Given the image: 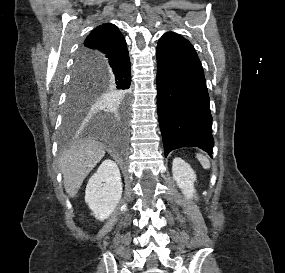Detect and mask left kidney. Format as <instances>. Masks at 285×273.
<instances>
[{
    "mask_svg": "<svg viewBox=\"0 0 285 273\" xmlns=\"http://www.w3.org/2000/svg\"><path fill=\"white\" fill-rule=\"evenodd\" d=\"M173 178L176 181L182 193L187 198L195 197L194 182L196 181V174L191 166L181 158H175L172 165Z\"/></svg>",
    "mask_w": 285,
    "mask_h": 273,
    "instance_id": "left-kidney-1",
    "label": "left kidney"
}]
</instances>
